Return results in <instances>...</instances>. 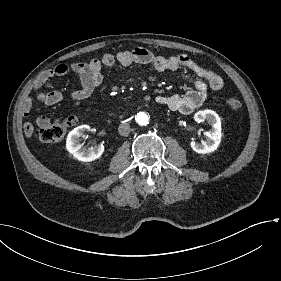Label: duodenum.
<instances>
[{
	"label": "duodenum",
	"mask_w": 281,
	"mask_h": 281,
	"mask_svg": "<svg viewBox=\"0 0 281 281\" xmlns=\"http://www.w3.org/2000/svg\"><path fill=\"white\" fill-rule=\"evenodd\" d=\"M150 99V96L149 95H147L145 98H144V100H149Z\"/></svg>",
	"instance_id": "1"
}]
</instances>
